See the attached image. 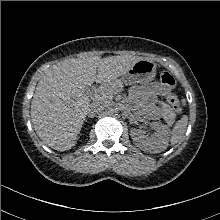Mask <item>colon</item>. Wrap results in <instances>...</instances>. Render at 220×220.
Here are the masks:
<instances>
[{"instance_id":"obj_1","label":"colon","mask_w":220,"mask_h":220,"mask_svg":"<svg viewBox=\"0 0 220 220\" xmlns=\"http://www.w3.org/2000/svg\"><path fill=\"white\" fill-rule=\"evenodd\" d=\"M160 81L162 87L166 90V98L171 104L173 110L177 114L182 113L181 103L178 97L173 92V87L175 86V79L173 75L167 71H160Z\"/></svg>"}]
</instances>
